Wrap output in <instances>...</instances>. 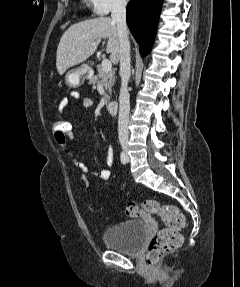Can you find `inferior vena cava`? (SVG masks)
Listing matches in <instances>:
<instances>
[{"label": "inferior vena cava", "instance_id": "602c4592", "mask_svg": "<svg viewBox=\"0 0 240 287\" xmlns=\"http://www.w3.org/2000/svg\"><path fill=\"white\" fill-rule=\"evenodd\" d=\"M112 21L116 24L120 41L119 58L121 88L119 95L118 137L122 147L128 146L129 132L128 122L130 113V95L128 93V81L131 74L130 66V42L126 24V0H113Z\"/></svg>", "mask_w": 240, "mask_h": 287}]
</instances>
